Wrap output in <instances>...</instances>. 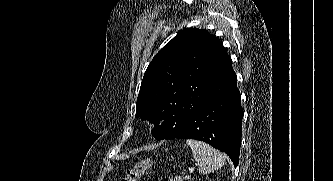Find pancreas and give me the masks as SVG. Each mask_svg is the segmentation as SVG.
Listing matches in <instances>:
<instances>
[{
  "label": "pancreas",
  "mask_w": 333,
  "mask_h": 181,
  "mask_svg": "<svg viewBox=\"0 0 333 181\" xmlns=\"http://www.w3.org/2000/svg\"><path fill=\"white\" fill-rule=\"evenodd\" d=\"M169 181H183V178L180 176H176L174 178H171Z\"/></svg>",
  "instance_id": "pancreas-1"
}]
</instances>
